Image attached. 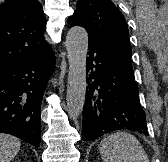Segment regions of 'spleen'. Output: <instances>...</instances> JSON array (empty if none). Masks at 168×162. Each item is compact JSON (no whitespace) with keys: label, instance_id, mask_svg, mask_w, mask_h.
<instances>
[{"label":"spleen","instance_id":"spleen-1","mask_svg":"<svg viewBox=\"0 0 168 162\" xmlns=\"http://www.w3.org/2000/svg\"><path fill=\"white\" fill-rule=\"evenodd\" d=\"M98 148L104 162H150L137 138L124 131L107 135Z\"/></svg>","mask_w":168,"mask_h":162}]
</instances>
